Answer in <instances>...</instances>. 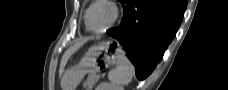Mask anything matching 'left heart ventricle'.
<instances>
[{"label":"left heart ventricle","mask_w":228,"mask_h":90,"mask_svg":"<svg viewBox=\"0 0 228 90\" xmlns=\"http://www.w3.org/2000/svg\"><path fill=\"white\" fill-rule=\"evenodd\" d=\"M112 18V10L106 5L95 6L89 15L90 27L94 30L103 29Z\"/></svg>","instance_id":"left-heart-ventricle-1"}]
</instances>
